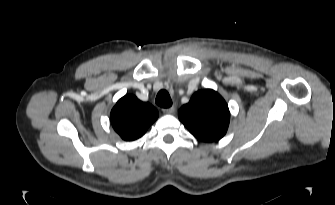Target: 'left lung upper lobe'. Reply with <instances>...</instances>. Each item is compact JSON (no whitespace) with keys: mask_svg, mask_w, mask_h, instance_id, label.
Returning <instances> with one entry per match:
<instances>
[{"mask_svg":"<svg viewBox=\"0 0 335 205\" xmlns=\"http://www.w3.org/2000/svg\"><path fill=\"white\" fill-rule=\"evenodd\" d=\"M178 115L190 133L204 142L221 139L230 120L225 100L211 89L194 93L189 103L180 108Z\"/></svg>","mask_w":335,"mask_h":205,"instance_id":"left-lung-upper-lobe-1","label":"left lung upper lobe"}]
</instances>
